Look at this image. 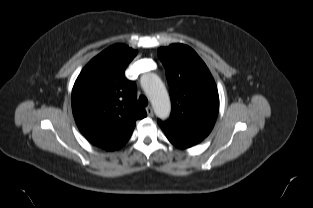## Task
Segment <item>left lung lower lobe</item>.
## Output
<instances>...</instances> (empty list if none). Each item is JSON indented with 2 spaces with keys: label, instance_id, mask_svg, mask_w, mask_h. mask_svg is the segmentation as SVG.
<instances>
[{
  "label": "left lung lower lobe",
  "instance_id": "0a47b994",
  "mask_svg": "<svg viewBox=\"0 0 313 208\" xmlns=\"http://www.w3.org/2000/svg\"><path fill=\"white\" fill-rule=\"evenodd\" d=\"M176 147L178 148H181V149H184V148H188L187 146H184V145H178V144H174Z\"/></svg>",
  "mask_w": 313,
  "mask_h": 208
}]
</instances>
